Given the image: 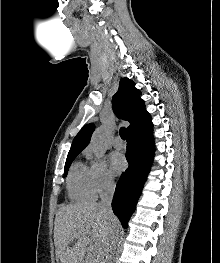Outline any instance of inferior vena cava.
I'll list each match as a JSON object with an SVG mask.
<instances>
[{
    "label": "inferior vena cava",
    "instance_id": "obj_1",
    "mask_svg": "<svg viewBox=\"0 0 220 263\" xmlns=\"http://www.w3.org/2000/svg\"><path fill=\"white\" fill-rule=\"evenodd\" d=\"M114 191H115V183L113 179H109L108 182L104 185V191L100 195L101 202L99 203L100 207L109 217L114 215L111 207ZM118 240H119V230L118 229L111 230L110 235L106 242L103 263H112V256L114 254Z\"/></svg>",
    "mask_w": 220,
    "mask_h": 263
}]
</instances>
